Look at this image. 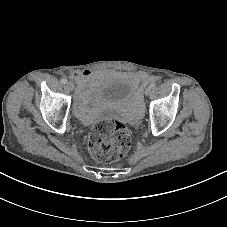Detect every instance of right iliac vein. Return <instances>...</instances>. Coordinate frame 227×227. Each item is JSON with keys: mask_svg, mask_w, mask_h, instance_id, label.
I'll return each mask as SVG.
<instances>
[{"mask_svg": "<svg viewBox=\"0 0 227 227\" xmlns=\"http://www.w3.org/2000/svg\"><path fill=\"white\" fill-rule=\"evenodd\" d=\"M66 88H67V89H70V90H73V89H74V84H73L72 82H68V83L66 84Z\"/></svg>", "mask_w": 227, "mask_h": 227, "instance_id": "1", "label": "right iliac vein"}]
</instances>
